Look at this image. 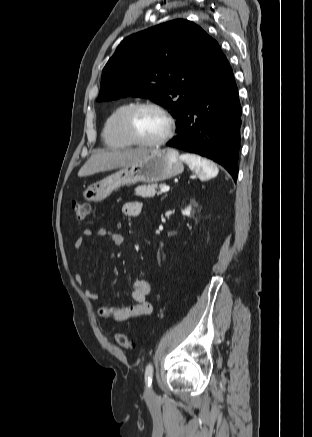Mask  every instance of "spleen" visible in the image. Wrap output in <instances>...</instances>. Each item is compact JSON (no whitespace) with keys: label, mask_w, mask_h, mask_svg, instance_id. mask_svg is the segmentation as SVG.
Instances as JSON below:
<instances>
[{"label":"spleen","mask_w":312,"mask_h":437,"mask_svg":"<svg viewBox=\"0 0 312 437\" xmlns=\"http://www.w3.org/2000/svg\"><path fill=\"white\" fill-rule=\"evenodd\" d=\"M180 159L188 164L191 170H194L200 180H208L217 176L219 170L217 166L201 156L185 153L180 156Z\"/></svg>","instance_id":"1"}]
</instances>
